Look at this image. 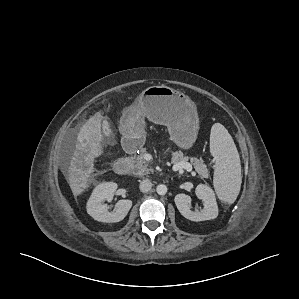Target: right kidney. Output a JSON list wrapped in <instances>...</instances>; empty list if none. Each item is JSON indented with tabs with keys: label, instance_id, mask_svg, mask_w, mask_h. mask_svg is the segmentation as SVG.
Instances as JSON below:
<instances>
[{
	"label": "right kidney",
	"instance_id": "ca27d5eb",
	"mask_svg": "<svg viewBox=\"0 0 299 299\" xmlns=\"http://www.w3.org/2000/svg\"><path fill=\"white\" fill-rule=\"evenodd\" d=\"M116 189L117 184L114 182H103L94 188L87 202V213L94 220L106 223H116L122 221L126 217L132 207L131 200H119L114 212H109L107 204H104L105 200L110 202L113 199Z\"/></svg>",
	"mask_w": 299,
	"mask_h": 299
}]
</instances>
